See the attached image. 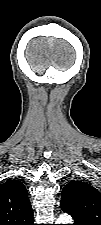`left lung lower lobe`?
<instances>
[{"instance_id":"left-lung-lower-lobe-1","label":"left lung lower lobe","mask_w":101,"mask_h":225,"mask_svg":"<svg viewBox=\"0 0 101 225\" xmlns=\"http://www.w3.org/2000/svg\"><path fill=\"white\" fill-rule=\"evenodd\" d=\"M73 225H93V224L81 220H76Z\"/></svg>"}]
</instances>
